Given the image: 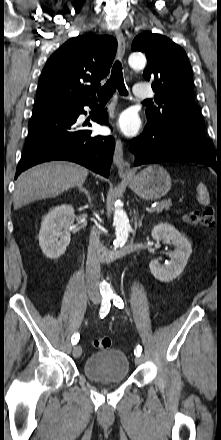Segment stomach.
I'll return each instance as SVG.
<instances>
[{
  "instance_id": "1",
  "label": "stomach",
  "mask_w": 221,
  "mask_h": 440,
  "mask_svg": "<svg viewBox=\"0 0 221 440\" xmlns=\"http://www.w3.org/2000/svg\"><path fill=\"white\" fill-rule=\"evenodd\" d=\"M126 178L130 189L145 200L159 199L171 188V177L160 165H149L136 175Z\"/></svg>"
}]
</instances>
